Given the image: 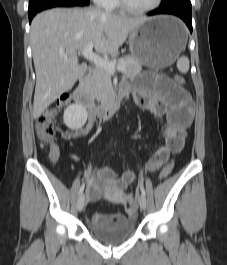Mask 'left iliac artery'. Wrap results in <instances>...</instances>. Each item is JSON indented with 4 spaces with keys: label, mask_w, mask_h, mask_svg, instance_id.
<instances>
[{
    "label": "left iliac artery",
    "mask_w": 227,
    "mask_h": 265,
    "mask_svg": "<svg viewBox=\"0 0 227 265\" xmlns=\"http://www.w3.org/2000/svg\"><path fill=\"white\" fill-rule=\"evenodd\" d=\"M139 187H140V191H141V193L145 196V189H144V187H143L142 182H139Z\"/></svg>",
    "instance_id": "44dca946"
}]
</instances>
